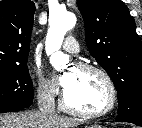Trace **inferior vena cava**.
<instances>
[{
  "label": "inferior vena cava",
  "instance_id": "inferior-vena-cava-1",
  "mask_svg": "<svg viewBox=\"0 0 142 128\" xmlns=\"http://www.w3.org/2000/svg\"><path fill=\"white\" fill-rule=\"evenodd\" d=\"M38 109L42 115L49 117L55 115L56 112H55V102L53 94L47 92L41 95L38 98Z\"/></svg>",
  "mask_w": 142,
  "mask_h": 128
}]
</instances>
